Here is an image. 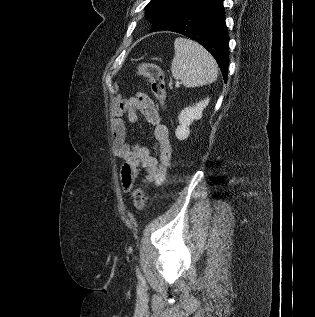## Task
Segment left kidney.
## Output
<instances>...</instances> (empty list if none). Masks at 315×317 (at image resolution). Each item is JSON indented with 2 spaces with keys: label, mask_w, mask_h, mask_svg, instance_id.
Here are the masks:
<instances>
[{
  "label": "left kidney",
  "mask_w": 315,
  "mask_h": 317,
  "mask_svg": "<svg viewBox=\"0 0 315 317\" xmlns=\"http://www.w3.org/2000/svg\"><path fill=\"white\" fill-rule=\"evenodd\" d=\"M209 103V98L199 101L193 106L183 109L179 116V126L176 128L175 135L179 140L186 139L190 134L189 126L195 121L202 118V112Z\"/></svg>",
  "instance_id": "obj_1"
}]
</instances>
